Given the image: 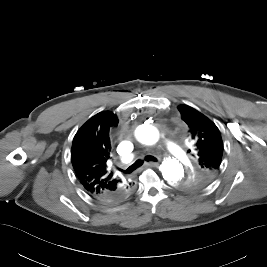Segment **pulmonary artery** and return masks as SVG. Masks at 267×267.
<instances>
[{"instance_id": "1", "label": "pulmonary artery", "mask_w": 267, "mask_h": 267, "mask_svg": "<svg viewBox=\"0 0 267 267\" xmlns=\"http://www.w3.org/2000/svg\"><path fill=\"white\" fill-rule=\"evenodd\" d=\"M162 145L164 146L165 150L172 154V155H175V156H180L181 155V150L180 148H178L177 146H175L173 143L171 142H168V141H162ZM134 158V155H129L127 158H126V161L127 162H130L132 161V159Z\"/></svg>"}]
</instances>
